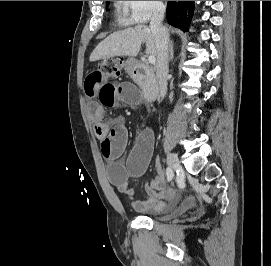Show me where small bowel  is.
<instances>
[{
  "instance_id": "obj_1",
  "label": "small bowel",
  "mask_w": 271,
  "mask_h": 266,
  "mask_svg": "<svg viewBox=\"0 0 271 266\" xmlns=\"http://www.w3.org/2000/svg\"><path fill=\"white\" fill-rule=\"evenodd\" d=\"M86 95L91 99L88 115L93 124L94 134L101 143L103 156L108 160V177L112 185L127 199L133 200L135 191L129 181L141 177L151 159L154 135L152 130H144L137 138L125 161L120 157L128 142V129L124 117L111 121L104 120V107H117L121 104L135 106L140 102V95L129 82L113 83L99 69L90 72L84 83ZM97 98L98 100H93ZM146 199L132 201V206L139 212L164 211L178 201L177 191L166 185L165 176L156 168L155 178L144 187Z\"/></svg>"
}]
</instances>
